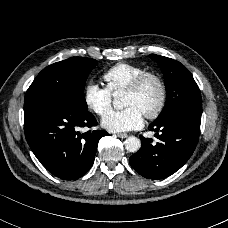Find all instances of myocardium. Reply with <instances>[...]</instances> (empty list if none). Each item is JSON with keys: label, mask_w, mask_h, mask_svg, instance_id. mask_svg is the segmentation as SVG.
<instances>
[{"label": "myocardium", "mask_w": 228, "mask_h": 228, "mask_svg": "<svg viewBox=\"0 0 228 228\" xmlns=\"http://www.w3.org/2000/svg\"><path fill=\"white\" fill-rule=\"evenodd\" d=\"M154 80L157 82V84L159 85L160 88V100L157 104V106L150 112H146L143 115L148 118V119H156L158 118L161 113L163 112L165 106H166V102H167V87L166 84L163 80V78L158 75L155 72H151V71H147L141 75H139L126 89V92L129 93H137L139 92L143 86L145 85V83L148 80Z\"/></svg>", "instance_id": "myocardium-1"}]
</instances>
